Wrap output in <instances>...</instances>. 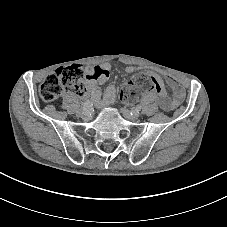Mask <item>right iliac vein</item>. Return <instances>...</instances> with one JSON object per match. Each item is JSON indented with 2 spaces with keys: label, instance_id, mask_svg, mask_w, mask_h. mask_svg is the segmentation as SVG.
<instances>
[{
  "label": "right iliac vein",
  "instance_id": "1",
  "mask_svg": "<svg viewBox=\"0 0 227 227\" xmlns=\"http://www.w3.org/2000/svg\"><path fill=\"white\" fill-rule=\"evenodd\" d=\"M77 115H78L79 117H82V116L84 115V112L78 111V112H77Z\"/></svg>",
  "mask_w": 227,
  "mask_h": 227
}]
</instances>
